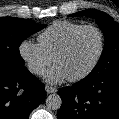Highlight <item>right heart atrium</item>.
I'll return each mask as SVG.
<instances>
[{
	"label": "right heart atrium",
	"instance_id": "d8ad5b80",
	"mask_svg": "<svg viewBox=\"0 0 119 119\" xmlns=\"http://www.w3.org/2000/svg\"><path fill=\"white\" fill-rule=\"evenodd\" d=\"M19 53L26 62L29 71L35 75H41L52 63V58L39 43L30 40H25L20 44Z\"/></svg>",
	"mask_w": 119,
	"mask_h": 119
}]
</instances>
